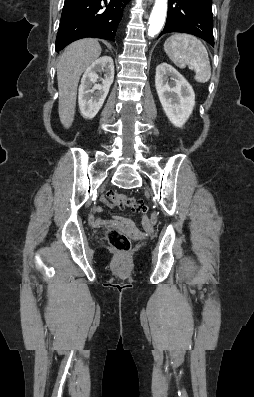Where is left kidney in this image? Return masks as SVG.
Returning <instances> with one entry per match:
<instances>
[{
    "instance_id": "5707ae66",
    "label": "left kidney",
    "mask_w": 254,
    "mask_h": 397,
    "mask_svg": "<svg viewBox=\"0 0 254 397\" xmlns=\"http://www.w3.org/2000/svg\"><path fill=\"white\" fill-rule=\"evenodd\" d=\"M155 86L169 121L176 127H183L195 105L191 85L174 67L163 62L156 68Z\"/></svg>"
}]
</instances>
